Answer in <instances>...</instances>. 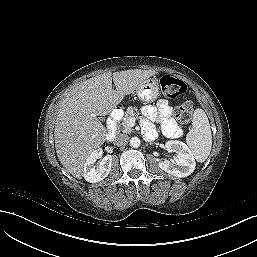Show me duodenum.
<instances>
[{
    "mask_svg": "<svg viewBox=\"0 0 257 257\" xmlns=\"http://www.w3.org/2000/svg\"><path fill=\"white\" fill-rule=\"evenodd\" d=\"M116 124H117V114L111 120L108 122L107 128H108V133H107V141L111 142L115 139L116 137Z\"/></svg>",
    "mask_w": 257,
    "mask_h": 257,
    "instance_id": "410a0bca",
    "label": "duodenum"
}]
</instances>
